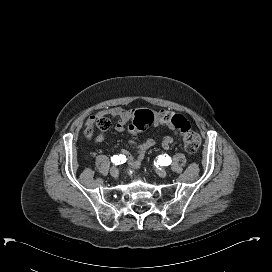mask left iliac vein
<instances>
[{
    "label": "left iliac vein",
    "mask_w": 272,
    "mask_h": 272,
    "mask_svg": "<svg viewBox=\"0 0 272 272\" xmlns=\"http://www.w3.org/2000/svg\"><path fill=\"white\" fill-rule=\"evenodd\" d=\"M157 174L162 178H165L167 176V172L164 168H158Z\"/></svg>",
    "instance_id": "left-iliac-vein-1"
}]
</instances>
